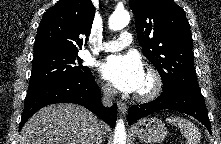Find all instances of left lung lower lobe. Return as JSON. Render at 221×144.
<instances>
[{
  "mask_svg": "<svg viewBox=\"0 0 221 144\" xmlns=\"http://www.w3.org/2000/svg\"><path fill=\"white\" fill-rule=\"evenodd\" d=\"M163 109L176 110L191 115L202 122L207 127L209 133H211V125L204 97L200 90L188 87L170 88L163 91L160 96L149 103L131 107L127 119L129 124H131L142 117Z\"/></svg>",
  "mask_w": 221,
  "mask_h": 144,
  "instance_id": "0a47b994",
  "label": "left lung lower lobe"
}]
</instances>
